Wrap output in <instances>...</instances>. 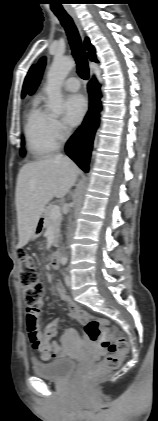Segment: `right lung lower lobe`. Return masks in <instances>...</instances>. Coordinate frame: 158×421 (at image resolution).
Returning <instances> with one entry per match:
<instances>
[{
  "mask_svg": "<svg viewBox=\"0 0 158 421\" xmlns=\"http://www.w3.org/2000/svg\"><path fill=\"white\" fill-rule=\"evenodd\" d=\"M99 87L96 79L89 82L90 109L82 125L71 136L65 147L67 155L85 172H88L93 139L99 124V111L101 110Z\"/></svg>",
  "mask_w": 158,
  "mask_h": 421,
  "instance_id": "98d812e1",
  "label": "right lung lower lobe"
}]
</instances>
